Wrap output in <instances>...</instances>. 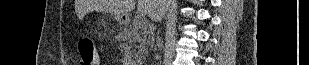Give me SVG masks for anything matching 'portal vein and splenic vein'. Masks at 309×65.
Segmentation results:
<instances>
[{"mask_svg":"<svg viewBox=\"0 0 309 65\" xmlns=\"http://www.w3.org/2000/svg\"><path fill=\"white\" fill-rule=\"evenodd\" d=\"M147 24H148V21H147V19L146 18H142V20H141V23H140V26L142 27V28H147Z\"/></svg>","mask_w":309,"mask_h":65,"instance_id":"1","label":"portal vein and splenic vein"}]
</instances>
